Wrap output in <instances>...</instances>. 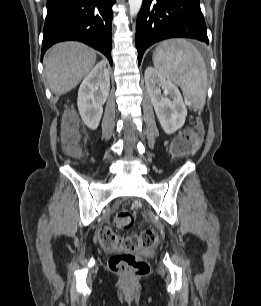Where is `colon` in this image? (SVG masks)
<instances>
[{"label":"colon","mask_w":261,"mask_h":306,"mask_svg":"<svg viewBox=\"0 0 261 306\" xmlns=\"http://www.w3.org/2000/svg\"><path fill=\"white\" fill-rule=\"evenodd\" d=\"M63 128L67 149L77 154V120L74 115L65 116ZM198 143V134L186 130L173 140L171 150L176 157H183L195 150ZM115 224L118 228L128 229L134 224V215L130 211L120 210L115 214ZM99 237L106 250L116 252L108 262L112 272L133 278L145 275L149 271L148 263L133 252L151 248L158 242V234L154 229L147 228L132 235H118L108 228H102Z\"/></svg>","instance_id":"colon-1"}]
</instances>
